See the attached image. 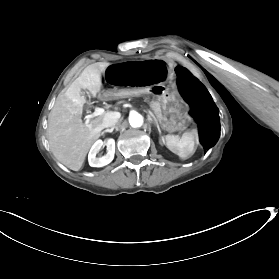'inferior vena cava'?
Masks as SVG:
<instances>
[{
  "instance_id": "602c4592",
  "label": "inferior vena cava",
  "mask_w": 279,
  "mask_h": 279,
  "mask_svg": "<svg viewBox=\"0 0 279 279\" xmlns=\"http://www.w3.org/2000/svg\"><path fill=\"white\" fill-rule=\"evenodd\" d=\"M119 117H120V113H118V112L105 113L104 119H103L104 128L114 126L115 123L117 122V120L119 119Z\"/></svg>"
}]
</instances>
